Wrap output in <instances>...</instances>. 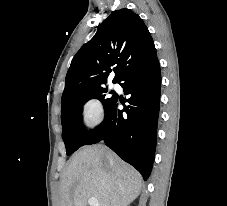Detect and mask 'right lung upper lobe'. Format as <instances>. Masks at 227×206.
<instances>
[{"label": "right lung upper lobe", "mask_w": 227, "mask_h": 206, "mask_svg": "<svg viewBox=\"0 0 227 206\" xmlns=\"http://www.w3.org/2000/svg\"><path fill=\"white\" fill-rule=\"evenodd\" d=\"M154 57V42L143 20L129 9L116 10L72 59L62 100L103 87L114 65L113 83H119L129 70Z\"/></svg>", "instance_id": "obj_1"}]
</instances>
